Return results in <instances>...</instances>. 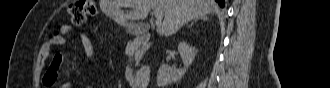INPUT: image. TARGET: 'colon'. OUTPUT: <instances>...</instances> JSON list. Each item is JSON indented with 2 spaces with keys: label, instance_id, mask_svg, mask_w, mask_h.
<instances>
[{
  "label": "colon",
  "instance_id": "obj_1",
  "mask_svg": "<svg viewBox=\"0 0 330 88\" xmlns=\"http://www.w3.org/2000/svg\"><path fill=\"white\" fill-rule=\"evenodd\" d=\"M95 12L96 8L94 1L90 0L78 1L72 4L68 9L71 23L75 26H80L85 23L89 17L95 14Z\"/></svg>",
  "mask_w": 330,
  "mask_h": 88
}]
</instances>
